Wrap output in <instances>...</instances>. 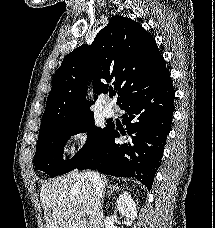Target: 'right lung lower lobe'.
Masks as SVG:
<instances>
[{
  "label": "right lung lower lobe",
  "mask_w": 215,
  "mask_h": 228,
  "mask_svg": "<svg viewBox=\"0 0 215 228\" xmlns=\"http://www.w3.org/2000/svg\"><path fill=\"white\" fill-rule=\"evenodd\" d=\"M174 96L170 74L162 80L135 84L120 104L127 113L122 116V123L126 125L129 141L116 143L120 133L113 125L107 138L76 168L137 178L150 189L171 130Z\"/></svg>",
  "instance_id": "obj_1"
}]
</instances>
